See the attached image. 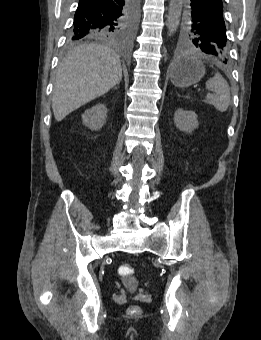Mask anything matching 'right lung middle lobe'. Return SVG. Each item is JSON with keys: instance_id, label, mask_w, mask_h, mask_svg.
Wrapping results in <instances>:
<instances>
[{"instance_id": "1", "label": "right lung middle lobe", "mask_w": 261, "mask_h": 340, "mask_svg": "<svg viewBox=\"0 0 261 340\" xmlns=\"http://www.w3.org/2000/svg\"><path fill=\"white\" fill-rule=\"evenodd\" d=\"M137 14L138 0H130L117 17L97 22L95 27L82 31L72 28L67 41L75 44L83 40H128L134 32Z\"/></svg>"}]
</instances>
